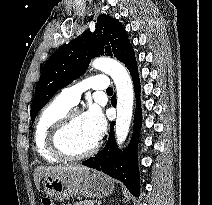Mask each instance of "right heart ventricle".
<instances>
[{
	"label": "right heart ventricle",
	"mask_w": 212,
	"mask_h": 205,
	"mask_svg": "<svg viewBox=\"0 0 212 205\" xmlns=\"http://www.w3.org/2000/svg\"><path fill=\"white\" fill-rule=\"evenodd\" d=\"M71 107L55 98L41 112L34 130V145L38 154L49 163H57L60 158L51 153L48 147V134L52 126Z\"/></svg>",
	"instance_id": "1"
}]
</instances>
